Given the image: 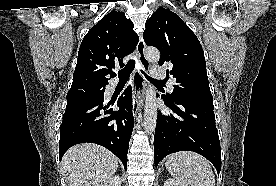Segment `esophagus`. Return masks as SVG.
Masks as SVG:
<instances>
[{
  "instance_id": "esophagus-1",
  "label": "esophagus",
  "mask_w": 276,
  "mask_h": 186,
  "mask_svg": "<svg viewBox=\"0 0 276 186\" xmlns=\"http://www.w3.org/2000/svg\"><path fill=\"white\" fill-rule=\"evenodd\" d=\"M137 54L139 59V65L143 70H147L150 66L149 61L145 56V42L141 36L137 44ZM146 81L143 75L136 70L134 74V91H133V105L132 112L134 117L137 116L141 106H142V96L145 91Z\"/></svg>"
}]
</instances>
